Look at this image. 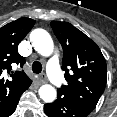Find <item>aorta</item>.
Segmentation results:
<instances>
[{
  "label": "aorta",
  "instance_id": "obj_1",
  "mask_svg": "<svg viewBox=\"0 0 117 117\" xmlns=\"http://www.w3.org/2000/svg\"><path fill=\"white\" fill-rule=\"evenodd\" d=\"M30 41L34 49L42 56H49L52 54L54 44L50 34L46 30L34 29L30 33ZM39 95L44 102L51 103L56 99L57 92L53 86L44 84L39 88Z\"/></svg>",
  "mask_w": 117,
  "mask_h": 117
}]
</instances>
